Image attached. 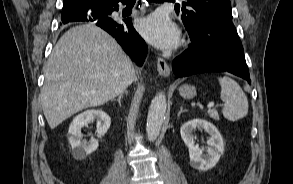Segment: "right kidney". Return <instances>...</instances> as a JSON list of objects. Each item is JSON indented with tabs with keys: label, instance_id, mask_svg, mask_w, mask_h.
<instances>
[{
	"label": "right kidney",
	"instance_id": "ca27d5eb",
	"mask_svg": "<svg viewBox=\"0 0 293 184\" xmlns=\"http://www.w3.org/2000/svg\"><path fill=\"white\" fill-rule=\"evenodd\" d=\"M93 120L97 121L98 136H104L110 127L111 119L102 110H87L74 117L69 126L68 140L72 147V154L76 159L85 158L99 146L98 140L93 137L89 141L82 139L81 129Z\"/></svg>",
	"mask_w": 293,
	"mask_h": 184
}]
</instances>
